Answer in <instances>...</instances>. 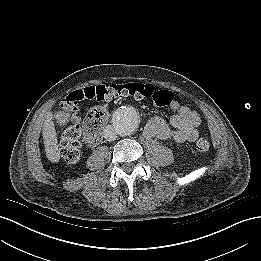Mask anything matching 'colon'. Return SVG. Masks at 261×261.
Here are the masks:
<instances>
[{
	"instance_id": "5ec220e1",
	"label": "colon",
	"mask_w": 261,
	"mask_h": 261,
	"mask_svg": "<svg viewBox=\"0 0 261 261\" xmlns=\"http://www.w3.org/2000/svg\"><path fill=\"white\" fill-rule=\"evenodd\" d=\"M121 97L153 99L159 106L169 105L174 98L169 91L159 90L152 84L140 82L102 84L71 93L61 104L67 125L61 137L60 155L67 163L75 164L81 156L82 126L77 116L78 103L85 99L111 101ZM107 116V111L103 106H95L90 109L84 125L87 144L95 145L99 142ZM209 146L206 137L200 136L198 138L196 142L197 150L205 152L209 149Z\"/></svg>"
}]
</instances>
